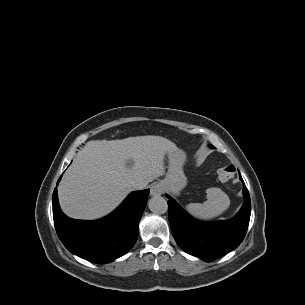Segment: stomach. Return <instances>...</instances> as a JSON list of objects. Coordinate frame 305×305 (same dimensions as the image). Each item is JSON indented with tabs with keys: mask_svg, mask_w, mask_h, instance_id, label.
<instances>
[{
	"mask_svg": "<svg viewBox=\"0 0 305 305\" xmlns=\"http://www.w3.org/2000/svg\"><path fill=\"white\" fill-rule=\"evenodd\" d=\"M168 171L164 180L160 181L163 189L172 194L179 192L186 186L187 178L183 172V165L186 161L184 151L176 148L167 152Z\"/></svg>",
	"mask_w": 305,
	"mask_h": 305,
	"instance_id": "0dacf381",
	"label": "stomach"
}]
</instances>
